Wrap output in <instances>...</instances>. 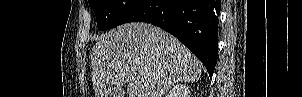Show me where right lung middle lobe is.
Wrapping results in <instances>:
<instances>
[{"mask_svg": "<svg viewBox=\"0 0 302 97\" xmlns=\"http://www.w3.org/2000/svg\"><path fill=\"white\" fill-rule=\"evenodd\" d=\"M142 0H89L99 30L116 27Z\"/></svg>", "mask_w": 302, "mask_h": 97, "instance_id": "right-lung-middle-lobe-1", "label": "right lung middle lobe"}]
</instances>
